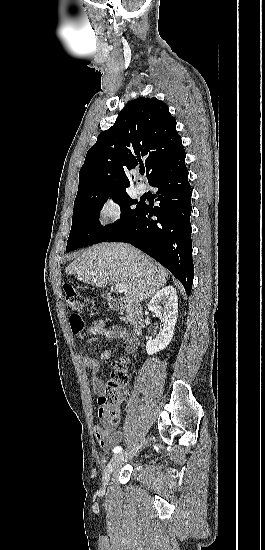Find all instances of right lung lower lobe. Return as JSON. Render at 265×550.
I'll use <instances>...</instances> for the list:
<instances>
[{
  "label": "right lung lower lobe",
  "instance_id": "1",
  "mask_svg": "<svg viewBox=\"0 0 265 550\" xmlns=\"http://www.w3.org/2000/svg\"><path fill=\"white\" fill-rule=\"evenodd\" d=\"M184 148L149 181L159 206L145 203L136 217L106 241L126 242L153 257L181 281L190 295L194 265L191 245L192 189ZM156 216L157 220L151 217Z\"/></svg>",
  "mask_w": 265,
  "mask_h": 550
}]
</instances>
